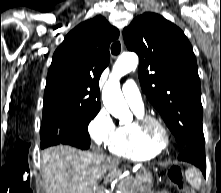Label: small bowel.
<instances>
[{
	"instance_id": "1",
	"label": "small bowel",
	"mask_w": 221,
	"mask_h": 193,
	"mask_svg": "<svg viewBox=\"0 0 221 193\" xmlns=\"http://www.w3.org/2000/svg\"><path fill=\"white\" fill-rule=\"evenodd\" d=\"M157 193H171V192L166 191V190H161V191H159V192H157Z\"/></svg>"
}]
</instances>
